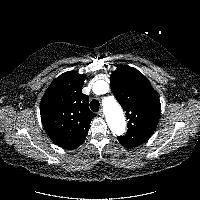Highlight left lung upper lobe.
Listing matches in <instances>:
<instances>
[{
  "label": "left lung upper lobe",
  "mask_w": 200,
  "mask_h": 200,
  "mask_svg": "<svg viewBox=\"0 0 200 200\" xmlns=\"http://www.w3.org/2000/svg\"><path fill=\"white\" fill-rule=\"evenodd\" d=\"M110 84L129 119L127 134L118 137V141L127 148L145 143L160 118L161 105L157 92L138 70L124 65L111 74Z\"/></svg>",
  "instance_id": "obj_1"
}]
</instances>
